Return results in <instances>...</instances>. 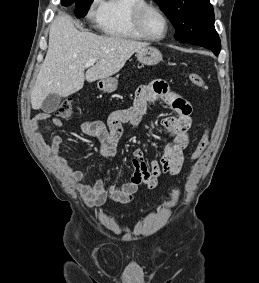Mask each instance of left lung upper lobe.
<instances>
[{
    "label": "left lung upper lobe",
    "mask_w": 259,
    "mask_h": 283,
    "mask_svg": "<svg viewBox=\"0 0 259 283\" xmlns=\"http://www.w3.org/2000/svg\"><path fill=\"white\" fill-rule=\"evenodd\" d=\"M176 28L182 43L215 40L214 10L209 0H154Z\"/></svg>",
    "instance_id": "5c2ea615"
}]
</instances>
